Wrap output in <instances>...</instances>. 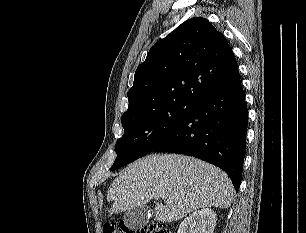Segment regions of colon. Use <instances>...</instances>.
Masks as SVG:
<instances>
[{"label":"colon","mask_w":306,"mask_h":233,"mask_svg":"<svg viewBox=\"0 0 306 233\" xmlns=\"http://www.w3.org/2000/svg\"><path fill=\"white\" fill-rule=\"evenodd\" d=\"M103 233H172L159 221L150 222L140 228H132L124 222L107 223L103 227Z\"/></svg>","instance_id":"5ec220e1"}]
</instances>
